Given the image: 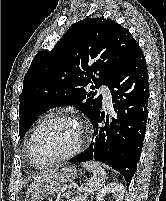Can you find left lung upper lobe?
<instances>
[{
    "instance_id": "5c2ea615",
    "label": "left lung upper lobe",
    "mask_w": 166,
    "mask_h": 201,
    "mask_svg": "<svg viewBox=\"0 0 166 201\" xmlns=\"http://www.w3.org/2000/svg\"><path fill=\"white\" fill-rule=\"evenodd\" d=\"M137 42L110 19L86 18L70 26L50 51L38 52L24 77L19 97V135L54 107L74 105L92 120L102 107V95L87 93L109 86L130 59Z\"/></svg>"
}]
</instances>
